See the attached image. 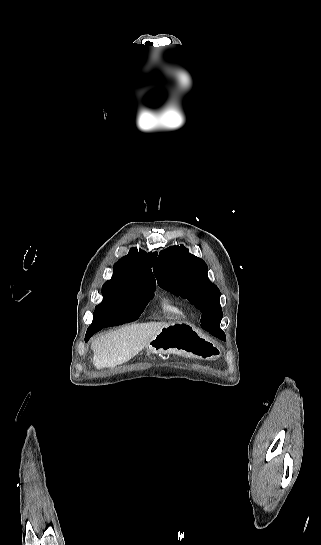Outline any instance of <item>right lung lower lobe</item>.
<instances>
[{
  "mask_svg": "<svg viewBox=\"0 0 321 545\" xmlns=\"http://www.w3.org/2000/svg\"><path fill=\"white\" fill-rule=\"evenodd\" d=\"M99 307V306H98ZM98 323H92L86 332L85 341L89 340L102 328L135 321L141 315V302L135 298H124L109 302L96 311Z\"/></svg>",
  "mask_w": 321,
  "mask_h": 545,
  "instance_id": "right-lung-lower-lobe-1",
  "label": "right lung lower lobe"
}]
</instances>
